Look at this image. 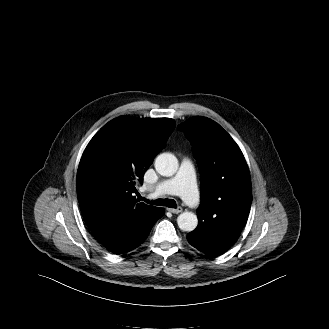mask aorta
<instances>
[{
	"instance_id": "obj_1",
	"label": "aorta",
	"mask_w": 329,
	"mask_h": 329,
	"mask_svg": "<svg viewBox=\"0 0 329 329\" xmlns=\"http://www.w3.org/2000/svg\"><path fill=\"white\" fill-rule=\"evenodd\" d=\"M156 171L166 177L173 176L179 167L177 158L172 153H162L155 159ZM177 224L182 231L191 232L198 225L197 216L192 212H183L177 217Z\"/></svg>"
}]
</instances>
